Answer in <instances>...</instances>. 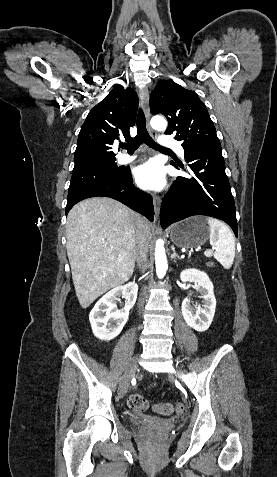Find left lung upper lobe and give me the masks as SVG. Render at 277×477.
<instances>
[{
	"label": "left lung upper lobe",
	"mask_w": 277,
	"mask_h": 477,
	"mask_svg": "<svg viewBox=\"0 0 277 477\" xmlns=\"http://www.w3.org/2000/svg\"><path fill=\"white\" fill-rule=\"evenodd\" d=\"M150 110L168 119L166 134H176L185 149L221 146L204 103L197 94L174 81H163L152 91Z\"/></svg>",
	"instance_id": "obj_1"
}]
</instances>
